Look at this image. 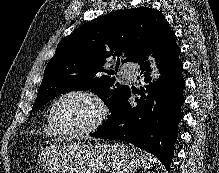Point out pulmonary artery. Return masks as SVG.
<instances>
[{
    "mask_svg": "<svg viewBox=\"0 0 219 173\" xmlns=\"http://www.w3.org/2000/svg\"><path fill=\"white\" fill-rule=\"evenodd\" d=\"M121 74L124 79L133 80L135 78V69L129 63H127L122 66Z\"/></svg>",
    "mask_w": 219,
    "mask_h": 173,
    "instance_id": "1",
    "label": "pulmonary artery"
}]
</instances>
